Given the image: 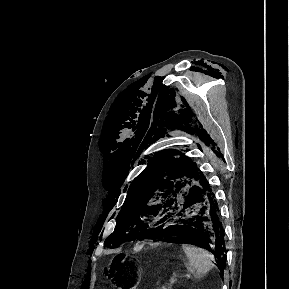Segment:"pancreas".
<instances>
[{
  "instance_id": "pancreas-1",
  "label": "pancreas",
  "mask_w": 289,
  "mask_h": 289,
  "mask_svg": "<svg viewBox=\"0 0 289 289\" xmlns=\"http://www.w3.org/2000/svg\"><path fill=\"white\" fill-rule=\"evenodd\" d=\"M161 289H170V287L163 286Z\"/></svg>"
}]
</instances>
